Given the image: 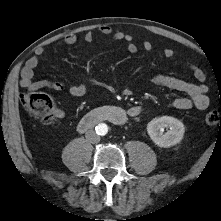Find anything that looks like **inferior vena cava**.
Returning a JSON list of instances; mask_svg holds the SVG:
<instances>
[{
  "mask_svg": "<svg viewBox=\"0 0 221 221\" xmlns=\"http://www.w3.org/2000/svg\"><path fill=\"white\" fill-rule=\"evenodd\" d=\"M87 141L90 143H98L100 141V136L94 130H88L85 134Z\"/></svg>",
  "mask_w": 221,
  "mask_h": 221,
  "instance_id": "602c4592",
  "label": "inferior vena cava"
}]
</instances>
